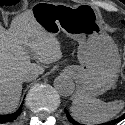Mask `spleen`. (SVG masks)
<instances>
[{
	"label": "spleen",
	"instance_id": "3e777b00",
	"mask_svg": "<svg viewBox=\"0 0 125 125\" xmlns=\"http://www.w3.org/2000/svg\"><path fill=\"white\" fill-rule=\"evenodd\" d=\"M124 105L122 100L103 102L84 92L77 91L70 110L75 120L94 125L114 118L124 108Z\"/></svg>",
	"mask_w": 125,
	"mask_h": 125
}]
</instances>
